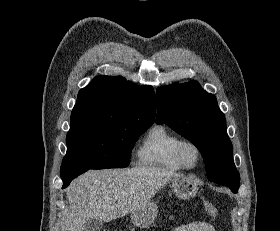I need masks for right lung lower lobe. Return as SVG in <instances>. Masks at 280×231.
Wrapping results in <instances>:
<instances>
[{"instance_id": "98d812e1", "label": "right lung lower lobe", "mask_w": 280, "mask_h": 231, "mask_svg": "<svg viewBox=\"0 0 280 231\" xmlns=\"http://www.w3.org/2000/svg\"><path fill=\"white\" fill-rule=\"evenodd\" d=\"M88 170L89 169L87 168H71V167L61 168V178L63 180L62 188H66L75 177L79 176L80 174Z\"/></svg>"}]
</instances>
